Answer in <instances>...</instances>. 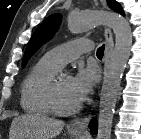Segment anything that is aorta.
Here are the masks:
<instances>
[{
  "instance_id": "762f6f07",
  "label": "aorta",
  "mask_w": 141,
  "mask_h": 139,
  "mask_svg": "<svg viewBox=\"0 0 141 139\" xmlns=\"http://www.w3.org/2000/svg\"><path fill=\"white\" fill-rule=\"evenodd\" d=\"M68 29L80 34L99 25L106 24L114 32L115 46L104 75L100 94L98 133L96 139H110L117 96L121 78L131 55L132 32L128 21L113 12L90 11L83 14L68 15Z\"/></svg>"
}]
</instances>
